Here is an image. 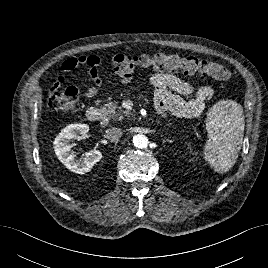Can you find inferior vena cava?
Segmentation results:
<instances>
[{
    "mask_svg": "<svg viewBox=\"0 0 268 268\" xmlns=\"http://www.w3.org/2000/svg\"><path fill=\"white\" fill-rule=\"evenodd\" d=\"M121 136L122 130L117 127H111L107 129L105 133V137L112 142H117Z\"/></svg>",
    "mask_w": 268,
    "mask_h": 268,
    "instance_id": "602c4592",
    "label": "inferior vena cava"
}]
</instances>
